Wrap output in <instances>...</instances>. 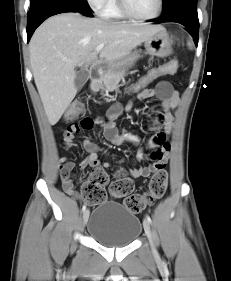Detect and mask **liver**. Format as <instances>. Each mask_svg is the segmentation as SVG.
<instances>
[{"instance_id": "liver-1", "label": "liver", "mask_w": 231, "mask_h": 281, "mask_svg": "<svg viewBox=\"0 0 231 281\" xmlns=\"http://www.w3.org/2000/svg\"><path fill=\"white\" fill-rule=\"evenodd\" d=\"M162 26H135L63 13L44 21L33 34L29 50L34 81L46 116L55 125L74 99L78 65L98 60L95 49L105 44L99 58L109 65L129 55Z\"/></svg>"}]
</instances>
